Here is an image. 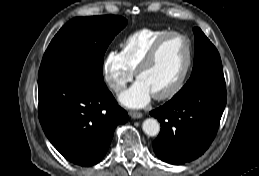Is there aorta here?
I'll return each mask as SVG.
<instances>
[{
	"label": "aorta",
	"mask_w": 259,
	"mask_h": 176,
	"mask_svg": "<svg viewBox=\"0 0 259 176\" xmlns=\"http://www.w3.org/2000/svg\"><path fill=\"white\" fill-rule=\"evenodd\" d=\"M142 129L148 136H156L160 132V124L154 118H148L143 121Z\"/></svg>",
	"instance_id": "762f6f07"
}]
</instances>
